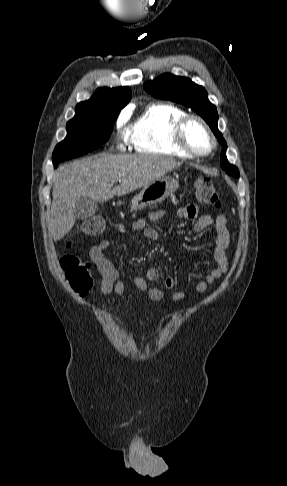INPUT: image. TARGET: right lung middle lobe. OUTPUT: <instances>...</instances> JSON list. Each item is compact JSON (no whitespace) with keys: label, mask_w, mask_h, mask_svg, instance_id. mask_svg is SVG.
I'll return each instance as SVG.
<instances>
[{"label":"right lung middle lobe","mask_w":287,"mask_h":486,"mask_svg":"<svg viewBox=\"0 0 287 486\" xmlns=\"http://www.w3.org/2000/svg\"><path fill=\"white\" fill-rule=\"evenodd\" d=\"M119 112L103 109H80L67 123V136L54 149V167L64 160L75 158L107 142Z\"/></svg>","instance_id":"obj_1"}]
</instances>
